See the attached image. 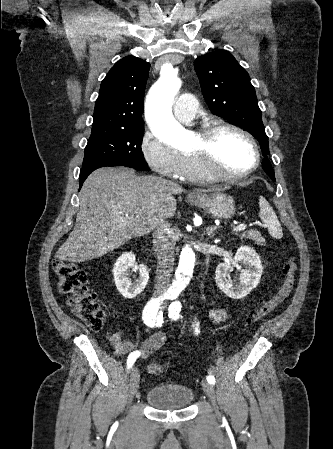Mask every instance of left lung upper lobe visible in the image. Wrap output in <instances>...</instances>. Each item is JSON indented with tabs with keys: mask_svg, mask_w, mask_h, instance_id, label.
<instances>
[{
	"mask_svg": "<svg viewBox=\"0 0 333 449\" xmlns=\"http://www.w3.org/2000/svg\"><path fill=\"white\" fill-rule=\"evenodd\" d=\"M203 96L212 113L233 121L259 141L263 160H268V137L261 110L247 71L226 50H217L198 57L194 62ZM263 167V166H262ZM264 171L275 180L272 166Z\"/></svg>",
	"mask_w": 333,
	"mask_h": 449,
	"instance_id": "left-lung-upper-lobe-1",
	"label": "left lung upper lobe"
}]
</instances>
